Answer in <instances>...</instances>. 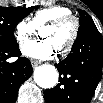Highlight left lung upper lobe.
<instances>
[{"instance_id": "obj_1", "label": "left lung upper lobe", "mask_w": 103, "mask_h": 103, "mask_svg": "<svg viewBox=\"0 0 103 103\" xmlns=\"http://www.w3.org/2000/svg\"><path fill=\"white\" fill-rule=\"evenodd\" d=\"M80 13V26L77 34V38L82 36L84 33L90 30H98L94 24L93 19L90 17V15L83 11L79 10Z\"/></svg>"}]
</instances>
